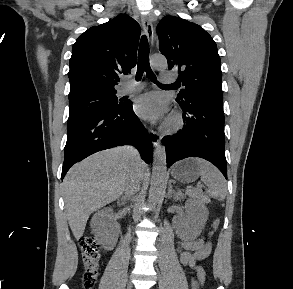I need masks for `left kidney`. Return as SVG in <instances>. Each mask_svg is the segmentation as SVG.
<instances>
[{"instance_id": "1", "label": "left kidney", "mask_w": 293, "mask_h": 289, "mask_svg": "<svg viewBox=\"0 0 293 289\" xmlns=\"http://www.w3.org/2000/svg\"><path fill=\"white\" fill-rule=\"evenodd\" d=\"M208 214V209L204 205H187L186 212L177 228L179 237L182 240L196 239L206 224Z\"/></svg>"}]
</instances>
